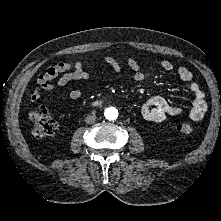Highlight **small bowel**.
Segmentation results:
<instances>
[{
	"label": "small bowel",
	"instance_id": "obj_1",
	"mask_svg": "<svg viewBox=\"0 0 221 221\" xmlns=\"http://www.w3.org/2000/svg\"><path fill=\"white\" fill-rule=\"evenodd\" d=\"M106 62L115 70H119V65L112 57H106ZM127 64L130 69L133 71V78L136 81H144L147 79L148 74L142 72L140 69V65L134 58H127ZM160 67L166 71L171 72L174 69V65L170 60L163 59L159 62ZM87 63L82 64L81 62H76L74 67L69 63L61 62L55 68L57 72L63 73V75L59 78L57 85L58 87H64L69 82L75 80H88L90 77L89 72L86 70ZM178 77L187 84L188 90L193 96L192 107L190 110V118L194 121H199L203 118L206 109L207 103L205 100V92L201 89L199 84L194 80L192 72L182 66L177 70ZM41 83L40 77L37 79L36 89L31 94L30 99L32 102L37 101L41 93L45 91V89L39 87ZM83 91L80 89H73L69 93V97L72 100H80L83 97ZM142 114L144 118L154 122H161L168 117H176L182 114L183 110L179 107H176L170 104L166 99L160 96H153L149 98L146 103L142 106Z\"/></svg>",
	"mask_w": 221,
	"mask_h": 221
}]
</instances>
